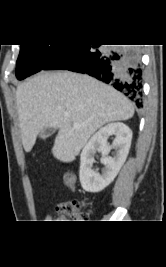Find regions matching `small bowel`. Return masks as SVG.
<instances>
[{
	"label": "small bowel",
	"instance_id": "1",
	"mask_svg": "<svg viewBox=\"0 0 166 267\" xmlns=\"http://www.w3.org/2000/svg\"><path fill=\"white\" fill-rule=\"evenodd\" d=\"M67 186H68L69 188H71V189H74V188H75V180L68 182V183H67ZM52 219H53V217H52L51 214H47V215L45 216V220H46V222H51Z\"/></svg>",
	"mask_w": 166,
	"mask_h": 267
}]
</instances>
